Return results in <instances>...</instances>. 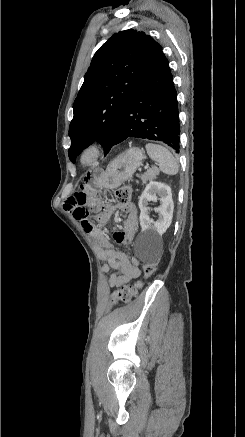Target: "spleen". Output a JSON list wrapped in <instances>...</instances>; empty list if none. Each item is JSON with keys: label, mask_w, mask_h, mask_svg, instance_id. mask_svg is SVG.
<instances>
[{"label": "spleen", "mask_w": 245, "mask_h": 437, "mask_svg": "<svg viewBox=\"0 0 245 437\" xmlns=\"http://www.w3.org/2000/svg\"><path fill=\"white\" fill-rule=\"evenodd\" d=\"M146 150L150 158L158 163L163 173L168 175L177 174L178 162L168 149L159 144L148 143L146 144Z\"/></svg>", "instance_id": "3e777b00"}]
</instances>
